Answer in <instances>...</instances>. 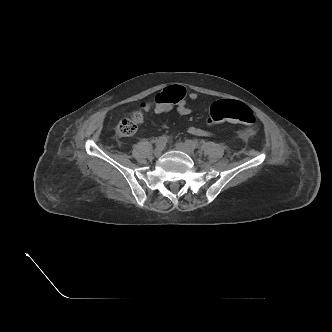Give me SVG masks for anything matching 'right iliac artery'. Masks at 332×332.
<instances>
[{
	"instance_id": "82829eb1",
	"label": "right iliac artery",
	"mask_w": 332,
	"mask_h": 332,
	"mask_svg": "<svg viewBox=\"0 0 332 332\" xmlns=\"http://www.w3.org/2000/svg\"><path fill=\"white\" fill-rule=\"evenodd\" d=\"M167 143V136L163 135L160 136L157 140H156V145L157 146H164Z\"/></svg>"
}]
</instances>
